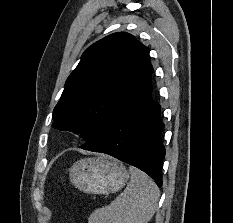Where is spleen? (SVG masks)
I'll return each mask as SVG.
<instances>
[{
    "label": "spleen",
    "instance_id": "3e777b00",
    "mask_svg": "<svg viewBox=\"0 0 233 223\" xmlns=\"http://www.w3.org/2000/svg\"><path fill=\"white\" fill-rule=\"evenodd\" d=\"M131 181L114 201L94 209L88 223H147L155 213L159 187L144 171L130 167Z\"/></svg>",
    "mask_w": 233,
    "mask_h": 223
}]
</instances>
